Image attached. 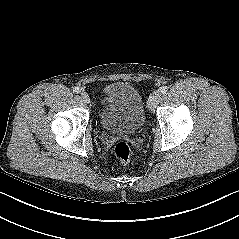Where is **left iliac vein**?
<instances>
[{
  "label": "left iliac vein",
  "instance_id": "1",
  "mask_svg": "<svg viewBox=\"0 0 239 239\" xmlns=\"http://www.w3.org/2000/svg\"><path fill=\"white\" fill-rule=\"evenodd\" d=\"M160 96H161L160 91H159V90H156V91H154V92L151 94V96L149 97L147 104H148V107H149V109H150L151 111H153V110L155 109V107H156V105H157V103H158V100H159Z\"/></svg>",
  "mask_w": 239,
  "mask_h": 239
}]
</instances>
